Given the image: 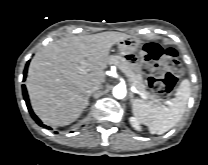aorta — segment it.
<instances>
[{"instance_id":"aorta-1","label":"aorta","mask_w":208,"mask_h":165,"mask_svg":"<svg viewBox=\"0 0 208 165\" xmlns=\"http://www.w3.org/2000/svg\"><path fill=\"white\" fill-rule=\"evenodd\" d=\"M126 87L122 84L116 85L113 88V96L117 99H123L126 96Z\"/></svg>"}]
</instances>
